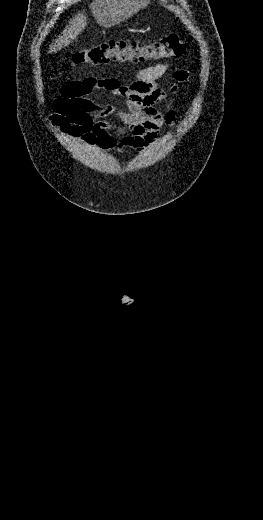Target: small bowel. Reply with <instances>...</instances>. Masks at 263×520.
Wrapping results in <instances>:
<instances>
[{
  "instance_id": "obj_1",
  "label": "small bowel",
  "mask_w": 263,
  "mask_h": 520,
  "mask_svg": "<svg viewBox=\"0 0 263 520\" xmlns=\"http://www.w3.org/2000/svg\"><path fill=\"white\" fill-rule=\"evenodd\" d=\"M169 69V63L140 69L135 81L129 85H123L115 78L96 77L69 82L60 88L48 121L68 137L103 150L141 151L156 140L164 125H171L175 120L172 108L162 112L156 106L170 104L171 96L179 91L178 83L187 81L189 74L178 69L175 82L164 88L159 80ZM98 90L123 97L125 109L96 102L92 94ZM112 115L118 117L120 125L104 119ZM112 131L121 135V139L116 140Z\"/></svg>"
}]
</instances>
